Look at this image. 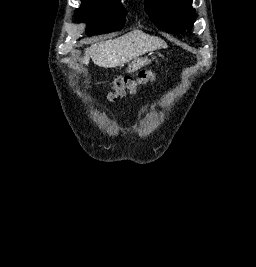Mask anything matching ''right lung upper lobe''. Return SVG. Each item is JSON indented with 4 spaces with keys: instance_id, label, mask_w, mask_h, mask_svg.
<instances>
[{
    "instance_id": "obj_1",
    "label": "right lung upper lobe",
    "mask_w": 256,
    "mask_h": 267,
    "mask_svg": "<svg viewBox=\"0 0 256 267\" xmlns=\"http://www.w3.org/2000/svg\"><path fill=\"white\" fill-rule=\"evenodd\" d=\"M87 1H94V0H82V2H87ZM101 1H118L119 2V0H101Z\"/></svg>"
}]
</instances>
